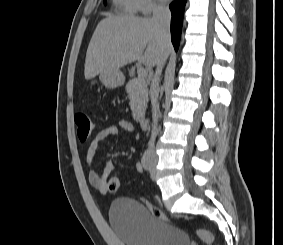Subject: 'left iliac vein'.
Instances as JSON below:
<instances>
[{"mask_svg":"<svg viewBox=\"0 0 283 245\" xmlns=\"http://www.w3.org/2000/svg\"><path fill=\"white\" fill-rule=\"evenodd\" d=\"M150 164H151L150 176H151V179L154 180L156 176V173H155L156 161L153 156L151 157Z\"/></svg>","mask_w":283,"mask_h":245,"instance_id":"1","label":"left iliac vein"}]
</instances>
